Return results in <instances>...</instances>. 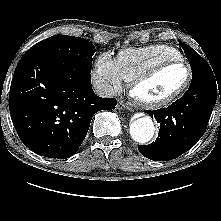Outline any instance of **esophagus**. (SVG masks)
<instances>
[{
    "mask_svg": "<svg viewBox=\"0 0 221 221\" xmlns=\"http://www.w3.org/2000/svg\"><path fill=\"white\" fill-rule=\"evenodd\" d=\"M117 108L118 109H126V110H129V111H133L132 107L129 106L127 103L123 102V101H119Z\"/></svg>",
    "mask_w": 221,
    "mask_h": 221,
    "instance_id": "1",
    "label": "esophagus"
}]
</instances>
